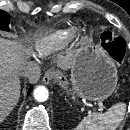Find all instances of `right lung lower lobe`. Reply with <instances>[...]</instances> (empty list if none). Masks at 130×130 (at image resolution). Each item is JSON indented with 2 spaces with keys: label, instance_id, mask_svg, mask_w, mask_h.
Wrapping results in <instances>:
<instances>
[{
  "label": "right lung lower lobe",
  "instance_id": "98d812e1",
  "mask_svg": "<svg viewBox=\"0 0 130 130\" xmlns=\"http://www.w3.org/2000/svg\"><path fill=\"white\" fill-rule=\"evenodd\" d=\"M32 91V87L29 89L28 94Z\"/></svg>",
  "mask_w": 130,
  "mask_h": 130
}]
</instances>
